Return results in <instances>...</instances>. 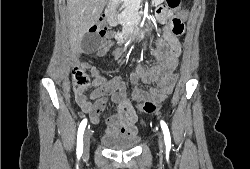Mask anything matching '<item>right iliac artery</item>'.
Wrapping results in <instances>:
<instances>
[{
	"mask_svg": "<svg viewBox=\"0 0 250 169\" xmlns=\"http://www.w3.org/2000/svg\"><path fill=\"white\" fill-rule=\"evenodd\" d=\"M87 125V119H84L78 128V134H77V158L80 159L83 153V134L85 127Z\"/></svg>",
	"mask_w": 250,
	"mask_h": 169,
	"instance_id": "82829eb1",
	"label": "right iliac artery"
}]
</instances>
